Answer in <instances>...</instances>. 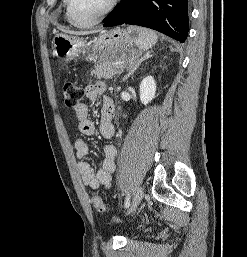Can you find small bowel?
I'll list each match as a JSON object with an SVG mask.
<instances>
[{"mask_svg":"<svg viewBox=\"0 0 247 257\" xmlns=\"http://www.w3.org/2000/svg\"><path fill=\"white\" fill-rule=\"evenodd\" d=\"M105 89L106 86L102 82L88 85L85 88V96L90 102L95 101L98 96L104 94ZM72 115L73 118L78 122V129L82 134H94L95 125L89 119V110L85 103H79L74 106ZM113 116V101L108 96L104 95L100 113L99 133L105 139H111L114 136L115 128L112 123ZM74 149L76 151V157L79 160L77 168L81 174L83 183L91 189H98L101 186L109 188L112 182V174L116 167V147L112 144L104 147L102 167L97 171H95L91 164L86 160L90 153V149L84 140H75Z\"/></svg>","mask_w":247,"mask_h":257,"instance_id":"1","label":"small bowel"}]
</instances>
